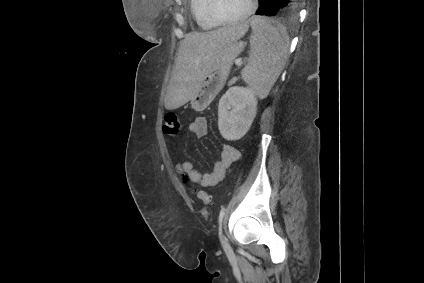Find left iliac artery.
Here are the masks:
<instances>
[{
  "instance_id": "44dca946",
  "label": "left iliac artery",
  "mask_w": 424,
  "mask_h": 283,
  "mask_svg": "<svg viewBox=\"0 0 424 283\" xmlns=\"http://www.w3.org/2000/svg\"><path fill=\"white\" fill-rule=\"evenodd\" d=\"M224 215H225V207H222V209L219 213V218H218V222H219V225H220L219 229L221 228V224H222Z\"/></svg>"
}]
</instances>
